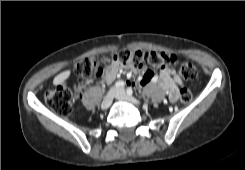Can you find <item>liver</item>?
Segmentation results:
<instances>
[{"mask_svg": "<svg viewBox=\"0 0 245 170\" xmlns=\"http://www.w3.org/2000/svg\"><path fill=\"white\" fill-rule=\"evenodd\" d=\"M70 74H71V71L70 70H67V71H64V72L58 74L54 78L53 84L54 85H60V84H62L66 79L69 78Z\"/></svg>", "mask_w": 245, "mask_h": 170, "instance_id": "liver-1", "label": "liver"}]
</instances>
